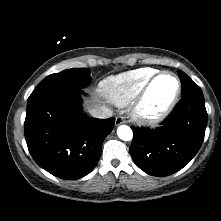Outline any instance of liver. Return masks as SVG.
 <instances>
[{"instance_id":"1","label":"liver","mask_w":221,"mask_h":221,"mask_svg":"<svg viewBox=\"0 0 221 221\" xmlns=\"http://www.w3.org/2000/svg\"><path fill=\"white\" fill-rule=\"evenodd\" d=\"M101 102L98 99H93L92 103L87 105V109H91L92 107L99 106Z\"/></svg>"}]
</instances>
